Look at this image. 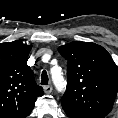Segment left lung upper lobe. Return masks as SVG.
<instances>
[{
	"label": "left lung upper lobe",
	"instance_id": "1",
	"mask_svg": "<svg viewBox=\"0 0 118 118\" xmlns=\"http://www.w3.org/2000/svg\"><path fill=\"white\" fill-rule=\"evenodd\" d=\"M67 63V89L61 104L70 118H104L118 91V68L110 54L91 42L60 46Z\"/></svg>",
	"mask_w": 118,
	"mask_h": 118
}]
</instances>
